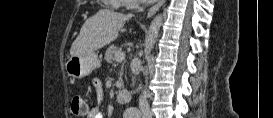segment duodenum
<instances>
[{
  "instance_id": "1",
  "label": "duodenum",
  "mask_w": 273,
  "mask_h": 118,
  "mask_svg": "<svg viewBox=\"0 0 273 118\" xmlns=\"http://www.w3.org/2000/svg\"><path fill=\"white\" fill-rule=\"evenodd\" d=\"M132 98L131 93L126 89H121L117 93V100L120 103H128Z\"/></svg>"
}]
</instances>
